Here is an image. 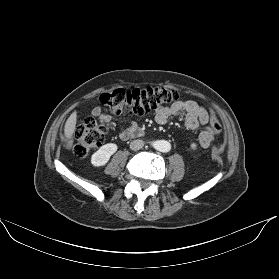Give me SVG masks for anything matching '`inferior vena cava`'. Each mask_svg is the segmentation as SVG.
Returning <instances> with one entry per match:
<instances>
[{
  "instance_id": "602c4592",
  "label": "inferior vena cava",
  "mask_w": 279,
  "mask_h": 279,
  "mask_svg": "<svg viewBox=\"0 0 279 279\" xmlns=\"http://www.w3.org/2000/svg\"><path fill=\"white\" fill-rule=\"evenodd\" d=\"M143 146H144L143 140H134L130 143V148L135 151L143 148Z\"/></svg>"
}]
</instances>
